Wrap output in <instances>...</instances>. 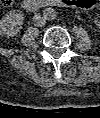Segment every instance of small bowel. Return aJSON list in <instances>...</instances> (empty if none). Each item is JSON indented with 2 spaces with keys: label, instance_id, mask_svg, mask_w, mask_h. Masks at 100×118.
<instances>
[{
  "label": "small bowel",
  "instance_id": "small-bowel-1",
  "mask_svg": "<svg viewBox=\"0 0 100 118\" xmlns=\"http://www.w3.org/2000/svg\"><path fill=\"white\" fill-rule=\"evenodd\" d=\"M73 1H74V2H73L74 5H78L79 7L85 8V7L83 6L84 1H82V0H73Z\"/></svg>",
  "mask_w": 100,
  "mask_h": 118
}]
</instances>
